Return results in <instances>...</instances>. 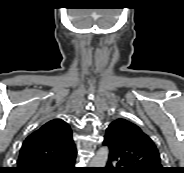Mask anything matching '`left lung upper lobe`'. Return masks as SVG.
I'll return each mask as SVG.
<instances>
[{"label":"left lung upper lobe","mask_w":184,"mask_h":173,"mask_svg":"<svg viewBox=\"0 0 184 173\" xmlns=\"http://www.w3.org/2000/svg\"><path fill=\"white\" fill-rule=\"evenodd\" d=\"M104 142L131 173H163L159 152L136 124L116 119L107 128Z\"/></svg>","instance_id":"left-lung-upper-lobe-1"}]
</instances>
